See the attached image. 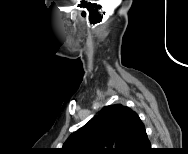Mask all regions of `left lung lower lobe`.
Instances as JSON below:
<instances>
[{
    "label": "left lung lower lobe",
    "mask_w": 188,
    "mask_h": 154,
    "mask_svg": "<svg viewBox=\"0 0 188 154\" xmlns=\"http://www.w3.org/2000/svg\"><path fill=\"white\" fill-rule=\"evenodd\" d=\"M150 150L151 145L145 127L137 113H135L125 154H149L147 152Z\"/></svg>",
    "instance_id": "obj_1"
}]
</instances>
